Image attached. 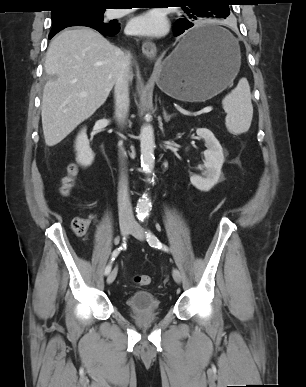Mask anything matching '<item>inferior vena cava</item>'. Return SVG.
I'll return each instance as SVG.
<instances>
[{
    "mask_svg": "<svg viewBox=\"0 0 306 387\" xmlns=\"http://www.w3.org/2000/svg\"><path fill=\"white\" fill-rule=\"evenodd\" d=\"M130 58V53L124 55L114 86L115 115L119 123L124 122L129 111V81L131 80ZM119 147L123 158L126 154L122 148V144H120ZM118 210L120 222L134 221L127 178L123 171L121 172L118 186Z\"/></svg>",
    "mask_w": 306,
    "mask_h": 387,
    "instance_id": "1",
    "label": "inferior vena cava"
}]
</instances>
